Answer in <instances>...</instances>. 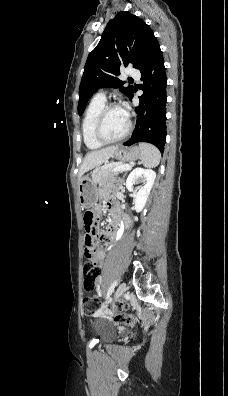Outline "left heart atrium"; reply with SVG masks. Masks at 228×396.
I'll list each match as a JSON object with an SVG mask.
<instances>
[{
  "label": "left heart atrium",
  "instance_id": "left-heart-atrium-1",
  "mask_svg": "<svg viewBox=\"0 0 228 396\" xmlns=\"http://www.w3.org/2000/svg\"><path fill=\"white\" fill-rule=\"evenodd\" d=\"M126 115L128 116V113L125 111Z\"/></svg>",
  "mask_w": 228,
  "mask_h": 396
}]
</instances>
